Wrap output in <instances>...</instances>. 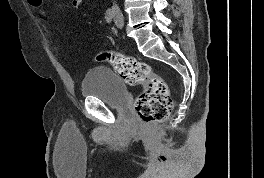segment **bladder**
<instances>
[{
	"label": "bladder",
	"mask_w": 264,
	"mask_h": 178,
	"mask_svg": "<svg viewBox=\"0 0 264 178\" xmlns=\"http://www.w3.org/2000/svg\"><path fill=\"white\" fill-rule=\"evenodd\" d=\"M84 98L100 100L110 108H122L128 101L123 79L108 67H93L86 72L81 83Z\"/></svg>",
	"instance_id": "1"
}]
</instances>
